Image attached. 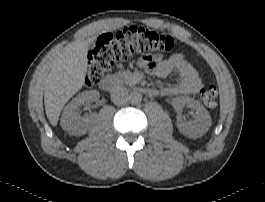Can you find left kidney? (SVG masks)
I'll return each instance as SVG.
<instances>
[{
  "instance_id": "left-kidney-1",
  "label": "left kidney",
  "mask_w": 265,
  "mask_h": 202,
  "mask_svg": "<svg viewBox=\"0 0 265 202\" xmlns=\"http://www.w3.org/2000/svg\"><path fill=\"white\" fill-rule=\"evenodd\" d=\"M172 105L178 112L177 127L183 135L194 139L199 138L211 127L212 121L209 112L199 101L190 97H177L173 99ZM185 106L195 110L194 120L185 121L182 118L181 111Z\"/></svg>"
}]
</instances>
